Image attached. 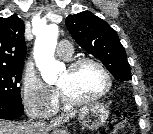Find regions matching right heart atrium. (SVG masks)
I'll return each mask as SVG.
<instances>
[{
    "label": "right heart atrium",
    "mask_w": 153,
    "mask_h": 134,
    "mask_svg": "<svg viewBox=\"0 0 153 134\" xmlns=\"http://www.w3.org/2000/svg\"><path fill=\"white\" fill-rule=\"evenodd\" d=\"M22 98L26 111L35 117H49L57 109V91L34 71H28L24 75Z\"/></svg>",
    "instance_id": "1"
}]
</instances>
